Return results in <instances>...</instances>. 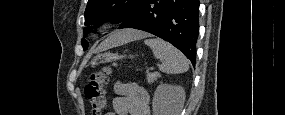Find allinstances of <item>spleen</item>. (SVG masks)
<instances>
[{
  "label": "spleen",
  "mask_w": 285,
  "mask_h": 115,
  "mask_svg": "<svg viewBox=\"0 0 285 115\" xmlns=\"http://www.w3.org/2000/svg\"><path fill=\"white\" fill-rule=\"evenodd\" d=\"M145 44L152 49L154 56L162 61L160 71L167 74H180L189 69L188 59L177 48L161 38H150Z\"/></svg>",
  "instance_id": "1"
}]
</instances>
